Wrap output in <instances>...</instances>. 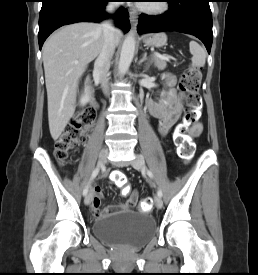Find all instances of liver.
Here are the masks:
<instances>
[{
	"label": "liver",
	"instance_id": "6515ba94",
	"mask_svg": "<svg viewBox=\"0 0 258 275\" xmlns=\"http://www.w3.org/2000/svg\"><path fill=\"white\" fill-rule=\"evenodd\" d=\"M121 31L116 29L117 44ZM103 28L95 23H75L53 33L43 46V65L48 99V121L57 140L75 112L78 81L100 53Z\"/></svg>",
	"mask_w": 258,
	"mask_h": 275
}]
</instances>
